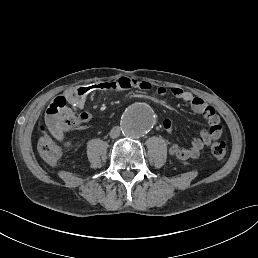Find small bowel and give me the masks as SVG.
<instances>
[{
  "label": "small bowel",
  "instance_id": "small-bowel-1",
  "mask_svg": "<svg viewBox=\"0 0 258 258\" xmlns=\"http://www.w3.org/2000/svg\"><path fill=\"white\" fill-rule=\"evenodd\" d=\"M131 88L150 91L152 89V85L146 81L121 77L113 82L93 83L70 89L64 94L59 95L52 100L46 111V124L57 141L66 147H70L71 143L65 140V129L60 122L63 112H71V110H82L84 108L87 96L94 92L122 91ZM156 92L163 96L168 93V90L164 87H158ZM169 92L175 98L189 103L192 110L195 113L203 116L209 125L207 129L201 130L200 135L192 140L189 147L174 144L169 148V154L183 161L197 158L204 147H208L212 141L220 138L222 134L220 117L212 106L207 104L202 98L194 96L189 91L178 87H173ZM81 115L84 118L83 122H89L92 119L89 113L83 112ZM163 127L168 133H172L175 129L173 123L169 119L164 120Z\"/></svg>",
  "mask_w": 258,
  "mask_h": 258
}]
</instances>
